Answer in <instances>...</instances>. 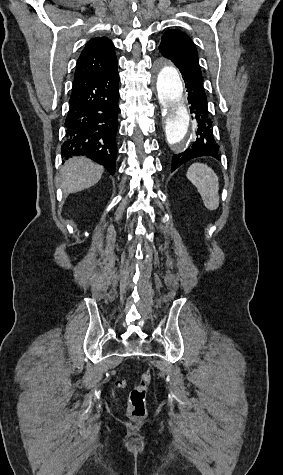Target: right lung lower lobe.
I'll return each mask as SVG.
<instances>
[{
  "label": "right lung lower lobe",
  "mask_w": 283,
  "mask_h": 475,
  "mask_svg": "<svg viewBox=\"0 0 283 475\" xmlns=\"http://www.w3.org/2000/svg\"><path fill=\"white\" fill-rule=\"evenodd\" d=\"M118 85L117 69L74 78L62 157L84 155L115 173Z\"/></svg>",
  "instance_id": "obj_1"
}]
</instances>
